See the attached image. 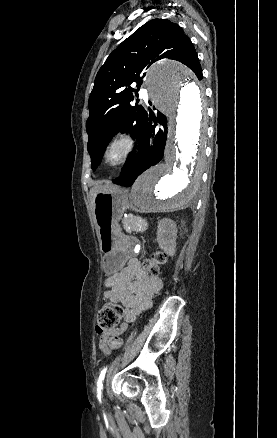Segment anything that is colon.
I'll list each match as a JSON object with an SVG mask.
<instances>
[{"label":"colon","instance_id":"5ec220e1","mask_svg":"<svg viewBox=\"0 0 277 438\" xmlns=\"http://www.w3.org/2000/svg\"><path fill=\"white\" fill-rule=\"evenodd\" d=\"M165 259L166 252L159 250L154 254L152 259H148L144 262V266L152 274H156L158 264L164 262ZM120 313V306L114 303H107L100 308L97 314L96 328L101 333L109 332L107 334V341L112 348H119L122 344V338L110 332L116 327Z\"/></svg>","mask_w":277,"mask_h":438}]
</instances>
